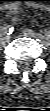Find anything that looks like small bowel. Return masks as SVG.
<instances>
[{
	"label": "small bowel",
	"instance_id": "c3829d8e",
	"mask_svg": "<svg viewBox=\"0 0 50 111\" xmlns=\"http://www.w3.org/2000/svg\"><path fill=\"white\" fill-rule=\"evenodd\" d=\"M20 11H21V10H20L19 8L14 7V8H11V9L9 10V14H10V15H15V14L19 13Z\"/></svg>",
	"mask_w": 50,
	"mask_h": 111
}]
</instances>
